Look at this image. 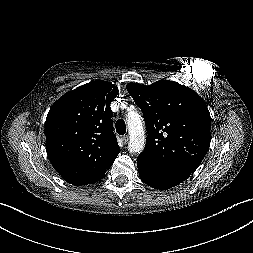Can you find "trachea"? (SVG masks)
I'll list each match as a JSON object with an SVG mask.
<instances>
[{"label":"trachea","instance_id":"3493384b","mask_svg":"<svg viewBox=\"0 0 253 253\" xmlns=\"http://www.w3.org/2000/svg\"><path fill=\"white\" fill-rule=\"evenodd\" d=\"M116 132L119 135H124L126 133V124L125 121L122 119H119L115 124Z\"/></svg>","mask_w":253,"mask_h":253}]
</instances>
